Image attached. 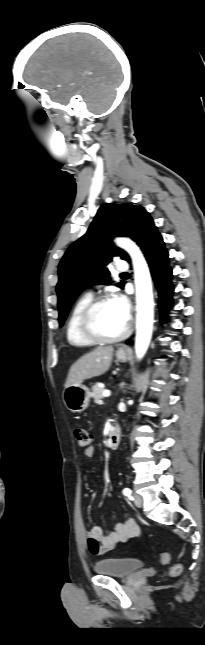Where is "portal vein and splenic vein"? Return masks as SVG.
<instances>
[{
	"mask_svg": "<svg viewBox=\"0 0 205 645\" xmlns=\"http://www.w3.org/2000/svg\"><path fill=\"white\" fill-rule=\"evenodd\" d=\"M110 394H111V393H110V391H109V390H104V392H103V396H104V397H108V396H110Z\"/></svg>",
	"mask_w": 205,
	"mask_h": 645,
	"instance_id": "18ae733b",
	"label": "portal vein and splenic vein"
}]
</instances>
